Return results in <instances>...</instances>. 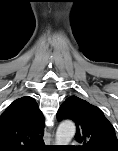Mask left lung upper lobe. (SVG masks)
Returning <instances> with one entry per match:
<instances>
[{
  "label": "left lung upper lobe",
  "instance_id": "left-lung-upper-lobe-1",
  "mask_svg": "<svg viewBox=\"0 0 118 151\" xmlns=\"http://www.w3.org/2000/svg\"><path fill=\"white\" fill-rule=\"evenodd\" d=\"M57 119L73 120L77 131L75 138L82 146L80 151H118V140L113 125L96 106L77 97L70 96L60 106Z\"/></svg>",
  "mask_w": 118,
  "mask_h": 151
}]
</instances>
